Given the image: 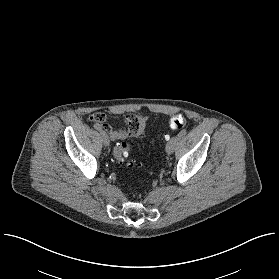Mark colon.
I'll list each match as a JSON object with an SVG mask.
<instances>
[{"mask_svg":"<svg viewBox=\"0 0 279 279\" xmlns=\"http://www.w3.org/2000/svg\"><path fill=\"white\" fill-rule=\"evenodd\" d=\"M103 119V116H100ZM187 124L186 118L181 115H175L168 120V126L171 130H179L184 128ZM131 145L125 141H121L114 146L113 160L116 164H122L126 157L130 154Z\"/></svg>","mask_w":279,"mask_h":279,"instance_id":"colon-1","label":"colon"}]
</instances>
